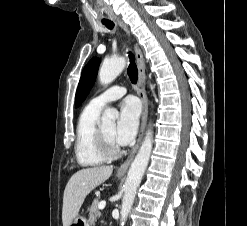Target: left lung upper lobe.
Returning a JSON list of instances; mask_svg holds the SVG:
<instances>
[{
  "instance_id": "1",
  "label": "left lung upper lobe",
  "mask_w": 247,
  "mask_h": 226,
  "mask_svg": "<svg viewBox=\"0 0 247 226\" xmlns=\"http://www.w3.org/2000/svg\"><path fill=\"white\" fill-rule=\"evenodd\" d=\"M100 62L99 58L94 57L84 67L76 91L75 107H78L90 92L95 82Z\"/></svg>"
}]
</instances>
